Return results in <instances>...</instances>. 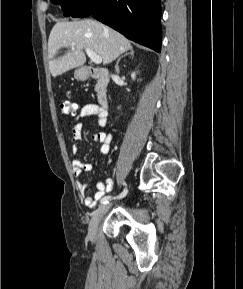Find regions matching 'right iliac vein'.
<instances>
[{
	"label": "right iliac vein",
	"instance_id": "right-iliac-vein-1",
	"mask_svg": "<svg viewBox=\"0 0 243 289\" xmlns=\"http://www.w3.org/2000/svg\"><path fill=\"white\" fill-rule=\"evenodd\" d=\"M110 203L101 205L94 213L88 228V234L91 239H94L97 234V229L100 220L110 208Z\"/></svg>",
	"mask_w": 243,
	"mask_h": 289
}]
</instances>
